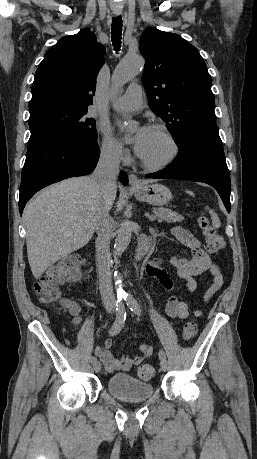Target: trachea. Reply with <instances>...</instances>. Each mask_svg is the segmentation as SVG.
<instances>
[{"label":"trachea","instance_id":"3493384b","mask_svg":"<svg viewBox=\"0 0 257 459\" xmlns=\"http://www.w3.org/2000/svg\"><path fill=\"white\" fill-rule=\"evenodd\" d=\"M122 36V18L121 16L112 19L111 39L115 51H119L121 47Z\"/></svg>","mask_w":257,"mask_h":459}]
</instances>
